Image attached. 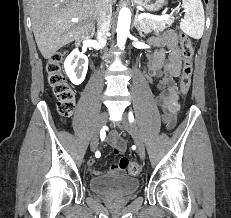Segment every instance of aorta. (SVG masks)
Instances as JSON below:
<instances>
[{"mask_svg":"<svg viewBox=\"0 0 231 218\" xmlns=\"http://www.w3.org/2000/svg\"><path fill=\"white\" fill-rule=\"evenodd\" d=\"M131 23V13L127 8L121 9L118 17L117 25V45L123 47L126 43V39L129 35Z\"/></svg>","mask_w":231,"mask_h":218,"instance_id":"aorta-1","label":"aorta"}]
</instances>
